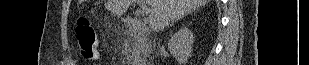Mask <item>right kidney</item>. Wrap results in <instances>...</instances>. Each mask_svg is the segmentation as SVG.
Wrapping results in <instances>:
<instances>
[{"label":"right kidney","mask_w":309,"mask_h":65,"mask_svg":"<svg viewBox=\"0 0 309 65\" xmlns=\"http://www.w3.org/2000/svg\"><path fill=\"white\" fill-rule=\"evenodd\" d=\"M194 36L187 27L180 28L169 40L168 50L178 63L185 64L191 56Z\"/></svg>","instance_id":"obj_1"}]
</instances>
